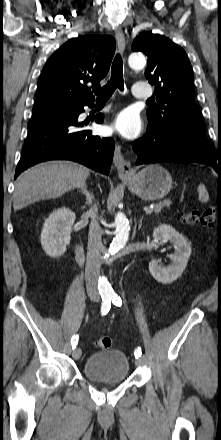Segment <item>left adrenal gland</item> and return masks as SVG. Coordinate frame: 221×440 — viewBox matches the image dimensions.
<instances>
[{
    "label": "left adrenal gland",
    "mask_w": 221,
    "mask_h": 440,
    "mask_svg": "<svg viewBox=\"0 0 221 440\" xmlns=\"http://www.w3.org/2000/svg\"><path fill=\"white\" fill-rule=\"evenodd\" d=\"M141 226H142V219L140 220L139 228H141Z\"/></svg>",
    "instance_id": "a2214340"
}]
</instances>
